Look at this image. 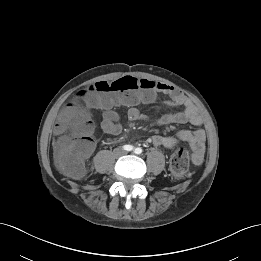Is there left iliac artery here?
Returning <instances> with one entry per match:
<instances>
[{
  "label": "left iliac artery",
  "mask_w": 261,
  "mask_h": 261,
  "mask_svg": "<svg viewBox=\"0 0 261 261\" xmlns=\"http://www.w3.org/2000/svg\"><path fill=\"white\" fill-rule=\"evenodd\" d=\"M141 149L140 148H136L135 150H134V153H136V154H140L141 153Z\"/></svg>",
  "instance_id": "1"
}]
</instances>
